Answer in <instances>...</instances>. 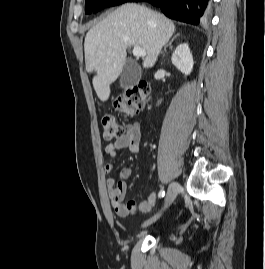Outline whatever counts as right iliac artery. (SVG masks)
<instances>
[{
    "mask_svg": "<svg viewBox=\"0 0 265 269\" xmlns=\"http://www.w3.org/2000/svg\"><path fill=\"white\" fill-rule=\"evenodd\" d=\"M164 195H165V191L164 190H160V192L158 194V197L159 198H162V197H164Z\"/></svg>",
    "mask_w": 265,
    "mask_h": 269,
    "instance_id": "right-iliac-artery-1",
    "label": "right iliac artery"
}]
</instances>
